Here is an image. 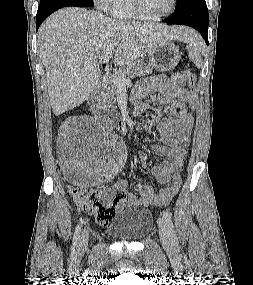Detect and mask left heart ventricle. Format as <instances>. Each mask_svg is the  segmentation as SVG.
<instances>
[{
    "mask_svg": "<svg viewBox=\"0 0 253 285\" xmlns=\"http://www.w3.org/2000/svg\"><path fill=\"white\" fill-rule=\"evenodd\" d=\"M143 11L148 15H160L172 6V0H141Z\"/></svg>",
    "mask_w": 253,
    "mask_h": 285,
    "instance_id": "left-heart-ventricle-1",
    "label": "left heart ventricle"
}]
</instances>
